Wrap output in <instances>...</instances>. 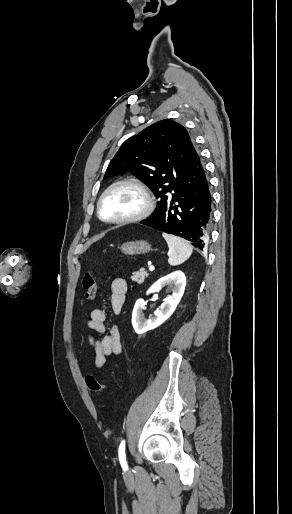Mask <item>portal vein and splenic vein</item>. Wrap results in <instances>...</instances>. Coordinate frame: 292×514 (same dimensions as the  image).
Returning <instances> with one entry per match:
<instances>
[{
    "mask_svg": "<svg viewBox=\"0 0 292 514\" xmlns=\"http://www.w3.org/2000/svg\"><path fill=\"white\" fill-rule=\"evenodd\" d=\"M149 270H151V272L152 270H155L154 266H150Z\"/></svg>",
    "mask_w": 292,
    "mask_h": 514,
    "instance_id": "portal-vein-and-splenic-vein-1",
    "label": "portal vein and splenic vein"
}]
</instances>
